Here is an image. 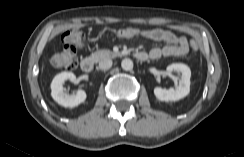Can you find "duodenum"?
Listing matches in <instances>:
<instances>
[{"label": "duodenum", "mask_w": 244, "mask_h": 157, "mask_svg": "<svg viewBox=\"0 0 244 157\" xmlns=\"http://www.w3.org/2000/svg\"><path fill=\"white\" fill-rule=\"evenodd\" d=\"M136 59L140 61H145L148 56L145 52H136L135 53ZM94 60L90 57H84L80 61V68L85 73H91L94 70Z\"/></svg>", "instance_id": "1"}]
</instances>
